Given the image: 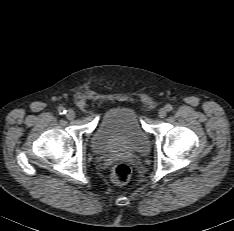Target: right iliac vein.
I'll return each instance as SVG.
<instances>
[{
  "instance_id": "right-iliac-vein-1",
  "label": "right iliac vein",
  "mask_w": 234,
  "mask_h": 231,
  "mask_svg": "<svg viewBox=\"0 0 234 231\" xmlns=\"http://www.w3.org/2000/svg\"><path fill=\"white\" fill-rule=\"evenodd\" d=\"M76 114L73 110L69 109L66 113V117L69 120H73L75 118Z\"/></svg>"
}]
</instances>
